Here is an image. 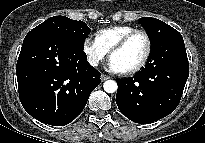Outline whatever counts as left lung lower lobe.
Masks as SVG:
<instances>
[{
  "label": "left lung lower lobe",
  "instance_id": "obj_1",
  "mask_svg": "<svg viewBox=\"0 0 205 143\" xmlns=\"http://www.w3.org/2000/svg\"><path fill=\"white\" fill-rule=\"evenodd\" d=\"M150 55L155 61L148 68L133 77L116 79L117 106L135 123H152L172 113L189 76L188 58L180 33L166 37Z\"/></svg>",
  "mask_w": 205,
  "mask_h": 143
}]
</instances>
